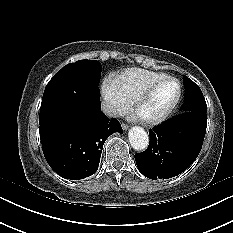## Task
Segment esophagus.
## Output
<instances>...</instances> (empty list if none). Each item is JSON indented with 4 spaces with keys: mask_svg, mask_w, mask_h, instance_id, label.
Segmentation results:
<instances>
[{
    "mask_svg": "<svg viewBox=\"0 0 233 233\" xmlns=\"http://www.w3.org/2000/svg\"><path fill=\"white\" fill-rule=\"evenodd\" d=\"M122 128L124 131H127L129 129V126L126 123H122Z\"/></svg>",
    "mask_w": 233,
    "mask_h": 233,
    "instance_id": "34e87169",
    "label": "esophagus"
}]
</instances>
